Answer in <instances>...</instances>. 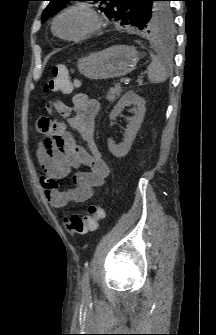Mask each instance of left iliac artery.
Returning <instances> with one entry per match:
<instances>
[{"mask_svg": "<svg viewBox=\"0 0 216 335\" xmlns=\"http://www.w3.org/2000/svg\"><path fill=\"white\" fill-rule=\"evenodd\" d=\"M90 269L87 268L84 272V275H83V280H82V287H83V296L85 298H88L90 297Z\"/></svg>", "mask_w": 216, "mask_h": 335, "instance_id": "obj_1", "label": "left iliac artery"}]
</instances>
